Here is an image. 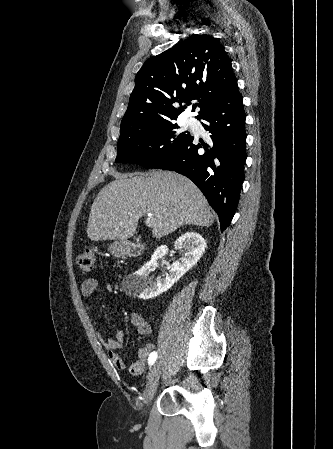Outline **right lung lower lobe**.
<instances>
[{
	"instance_id": "98d812e1",
	"label": "right lung lower lobe",
	"mask_w": 333,
	"mask_h": 449,
	"mask_svg": "<svg viewBox=\"0 0 333 449\" xmlns=\"http://www.w3.org/2000/svg\"><path fill=\"white\" fill-rule=\"evenodd\" d=\"M200 118L211 133V142L198 143L192 136L155 169L175 171L191 179L218 214L223 232L237 208L247 158L241 94L217 102Z\"/></svg>"
}]
</instances>
